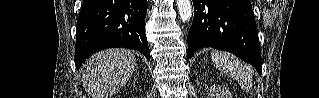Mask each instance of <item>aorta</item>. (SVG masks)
<instances>
[{"label": "aorta", "mask_w": 319, "mask_h": 98, "mask_svg": "<svg viewBox=\"0 0 319 98\" xmlns=\"http://www.w3.org/2000/svg\"><path fill=\"white\" fill-rule=\"evenodd\" d=\"M180 18L183 22L190 20L192 16V5L190 0H176Z\"/></svg>", "instance_id": "aorta-1"}]
</instances>
